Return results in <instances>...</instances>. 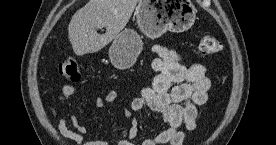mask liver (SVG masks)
Here are the masks:
<instances>
[{"instance_id": "6515ba94", "label": "liver", "mask_w": 276, "mask_h": 145, "mask_svg": "<svg viewBox=\"0 0 276 145\" xmlns=\"http://www.w3.org/2000/svg\"><path fill=\"white\" fill-rule=\"evenodd\" d=\"M140 0H89L76 11L68 26L76 55L96 53L110 43L128 23ZM106 28L104 34L97 29Z\"/></svg>"}]
</instances>
